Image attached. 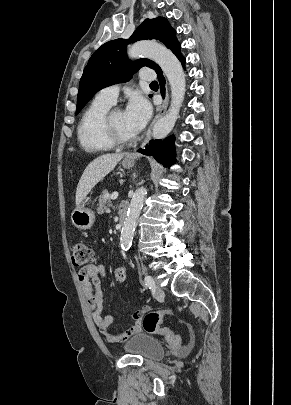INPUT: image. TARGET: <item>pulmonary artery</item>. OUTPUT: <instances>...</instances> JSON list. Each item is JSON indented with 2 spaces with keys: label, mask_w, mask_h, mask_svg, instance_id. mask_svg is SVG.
<instances>
[{
  "label": "pulmonary artery",
  "mask_w": 291,
  "mask_h": 405,
  "mask_svg": "<svg viewBox=\"0 0 291 405\" xmlns=\"http://www.w3.org/2000/svg\"><path fill=\"white\" fill-rule=\"evenodd\" d=\"M140 79L143 81H153L156 79V73L152 69L144 68L140 72ZM118 93L119 86L112 85L100 90V92L97 94V98L107 103L114 104L118 97Z\"/></svg>",
  "instance_id": "1"
}]
</instances>
